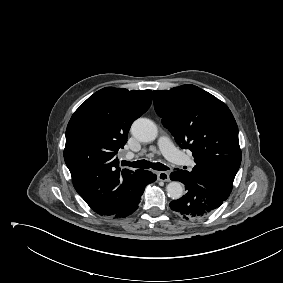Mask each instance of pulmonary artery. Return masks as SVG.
I'll return each mask as SVG.
<instances>
[{
  "instance_id": "obj_1",
  "label": "pulmonary artery",
  "mask_w": 283,
  "mask_h": 283,
  "mask_svg": "<svg viewBox=\"0 0 283 283\" xmlns=\"http://www.w3.org/2000/svg\"><path fill=\"white\" fill-rule=\"evenodd\" d=\"M158 147L161 153L173 163L180 165H187V166H191L193 163L189 157L185 156L180 151H178L171 143L170 139L165 135L159 137ZM126 158L127 159L133 158V154L127 153Z\"/></svg>"
}]
</instances>
